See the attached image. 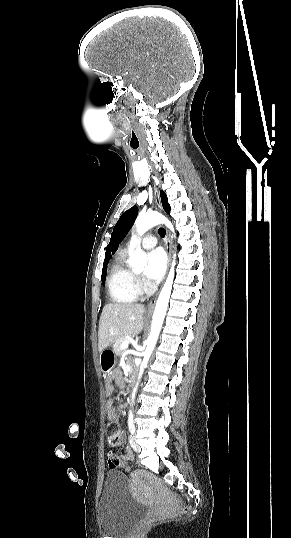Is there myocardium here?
<instances>
[{
	"label": "myocardium",
	"instance_id": "f54148a6",
	"mask_svg": "<svg viewBox=\"0 0 291 538\" xmlns=\"http://www.w3.org/2000/svg\"><path fill=\"white\" fill-rule=\"evenodd\" d=\"M134 278H135L136 287H137L138 292H139V293H140V292H143V291H144V287H143V285H142V283H141V280H140L139 275L134 274Z\"/></svg>",
	"mask_w": 291,
	"mask_h": 538
}]
</instances>
